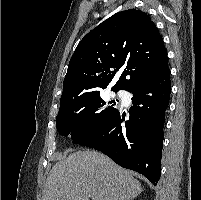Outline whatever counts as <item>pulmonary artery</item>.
Listing matches in <instances>:
<instances>
[{
	"label": "pulmonary artery",
	"mask_w": 201,
	"mask_h": 200,
	"mask_svg": "<svg viewBox=\"0 0 201 200\" xmlns=\"http://www.w3.org/2000/svg\"><path fill=\"white\" fill-rule=\"evenodd\" d=\"M118 95L121 97V96H122V93H118Z\"/></svg>",
	"instance_id": "pulmonary-artery-1"
}]
</instances>
